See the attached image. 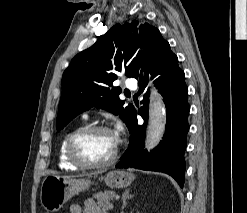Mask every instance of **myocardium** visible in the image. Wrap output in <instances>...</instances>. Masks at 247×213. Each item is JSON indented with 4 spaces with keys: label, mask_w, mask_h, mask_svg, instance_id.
<instances>
[{
    "label": "myocardium",
    "mask_w": 247,
    "mask_h": 213,
    "mask_svg": "<svg viewBox=\"0 0 247 213\" xmlns=\"http://www.w3.org/2000/svg\"><path fill=\"white\" fill-rule=\"evenodd\" d=\"M112 132L110 128L105 125H88L76 129L69 137L67 141V156L69 161L75 166L82 169H99L113 165L119 157V145L117 143L116 149L108 160L104 162H89L87 161L79 151V143L84 137L96 133V132Z\"/></svg>",
    "instance_id": "f54148a6"
}]
</instances>
